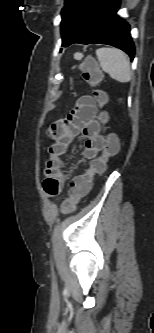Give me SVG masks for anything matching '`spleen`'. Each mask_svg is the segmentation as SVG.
I'll return each instance as SVG.
<instances>
[{"mask_svg": "<svg viewBox=\"0 0 154 333\" xmlns=\"http://www.w3.org/2000/svg\"><path fill=\"white\" fill-rule=\"evenodd\" d=\"M97 59L102 70L119 82L131 80V68L127 55L116 48H99L96 50Z\"/></svg>", "mask_w": 154, "mask_h": 333, "instance_id": "1", "label": "spleen"}]
</instances>
